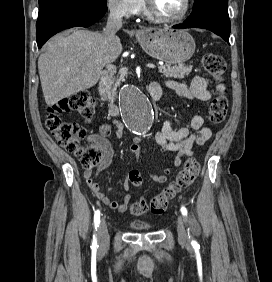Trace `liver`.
Segmentation results:
<instances>
[{"mask_svg": "<svg viewBox=\"0 0 272 282\" xmlns=\"http://www.w3.org/2000/svg\"><path fill=\"white\" fill-rule=\"evenodd\" d=\"M122 52L120 38L88 30L58 34L45 45L38 70L47 105L94 86L103 68Z\"/></svg>", "mask_w": 272, "mask_h": 282, "instance_id": "liver-1", "label": "liver"}]
</instances>
